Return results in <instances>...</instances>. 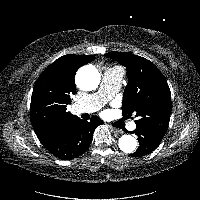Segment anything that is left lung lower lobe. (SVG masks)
<instances>
[{"mask_svg":"<svg viewBox=\"0 0 200 200\" xmlns=\"http://www.w3.org/2000/svg\"><path fill=\"white\" fill-rule=\"evenodd\" d=\"M138 136L139 148L131 156H144L154 151L161 142L164 135L147 127L136 126L132 132Z\"/></svg>","mask_w":200,"mask_h":200,"instance_id":"obj_1","label":"left lung lower lobe"}]
</instances>
